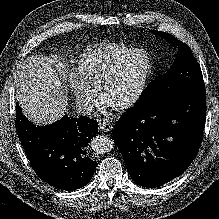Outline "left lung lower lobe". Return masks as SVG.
I'll return each mask as SVG.
<instances>
[{"mask_svg":"<svg viewBox=\"0 0 219 219\" xmlns=\"http://www.w3.org/2000/svg\"><path fill=\"white\" fill-rule=\"evenodd\" d=\"M205 120V91L127 110L114 127V142L133 181L154 188L183 174L199 151Z\"/></svg>","mask_w":219,"mask_h":219,"instance_id":"1","label":"left lung lower lobe"}]
</instances>
